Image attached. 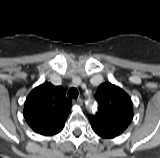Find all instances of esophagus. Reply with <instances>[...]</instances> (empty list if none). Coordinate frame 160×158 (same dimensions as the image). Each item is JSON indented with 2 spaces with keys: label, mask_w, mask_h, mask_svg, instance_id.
I'll return each instance as SVG.
<instances>
[{
  "label": "esophagus",
  "mask_w": 160,
  "mask_h": 158,
  "mask_svg": "<svg viewBox=\"0 0 160 158\" xmlns=\"http://www.w3.org/2000/svg\"><path fill=\"white\" fill-rule=\"evenodd\" d=\"M73 102H74V104H76L78 106H82L83 105V101H82L81 98H78L77 100H74Z\"/></svg>",
  "instance_id": "esophagus-1"
}]
</instances>
